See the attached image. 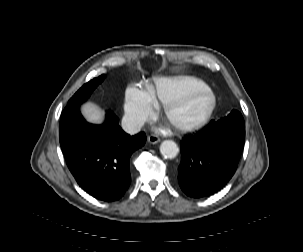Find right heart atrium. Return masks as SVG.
I'll return each mask as SVG.
<instances>
[{
    "instance_id": "1",
    "label": "right heart atrium",
    "mask_w": 303,
    "mask_h": 252,
    "mask_svg": "<svg viewBox=\"0 0 303 252\" xmlns=\"http://www.w3.org/2000/svg\"><path fill=\"white\" fill-rule=\"evenodd\" d=\"M124 112L127 124L138 127L152 117L154 106L142 90L132 87L125 96Z\"/></svg>"
}]
</instances>
